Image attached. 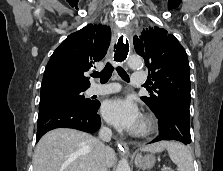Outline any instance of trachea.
<instances>
[{
    "mask_svg": "<svg viewBox=\"0 0 223 171\" xmlns=\"http://www.w3.org/2000/svg\"><path fill=\"white\" fill-rule=\"evenodd\" d=\"M114 50H115V46H114ZM116 70H117L119 76L124 81L129 82V76L122 67L118 66V67H116ZM113 71H114V67L112 66V64L107 63L105 68L101 72H95L92 76L100 78V82L104 84L110 79Z\"/></svg>",
    "mask_w": 223,
    "mask_h": 171,
    "instance_id": "1",
    "label": "trachea"
}]
</instances>
